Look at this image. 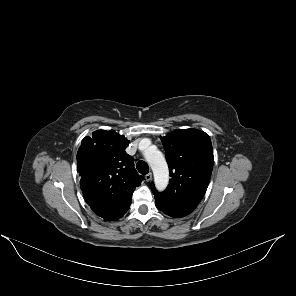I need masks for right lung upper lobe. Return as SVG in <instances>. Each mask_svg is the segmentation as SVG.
Segmentation results:
<instances>
[{
  "instance_id": "1",
  "label": "right lung upper lobe",
  "mask_w": 296,
  "mask_h": 296,
  "mask_svg": "<svg viewBox=\"0 0 296 296\" xmlns=\"http://www.w3.org/2000/svg\"><path fill=\"white\" fill-rule=\"evenodd\" d=\"M129 144L114 130H97L85 137L77 152L80 187L90 207L131 200L143 177L125 149Z\"/></svg>"
}]
</instances>
